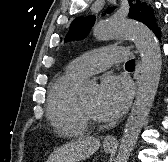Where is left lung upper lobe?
Returning a JSON list of instances; mask_svg holds the SVG:
<instances>
[{"label": "left lung upper lobe", "instance_id": "obj_1", "mask_svg": "<svg viewBox=\"0 0 168 162\" xmlns=\"http://www.w3.org/2000/svg\"><path fill=\"white\" fill-rule=\"evenodd\" d=\"M130 11L129 17L135 20H138L145 25L149 26L156 21L154 17V11L151 7H147V4L144 2L137 1L132 3V0H129ZM113 8H109L107 11L110 13ZM95 22L94 16H89L87 18L81 16L76 18L70 25L68 34L65 37V42L70 40H80L86 37L89 33L91 27Z\"/></svg>", "mask_w": 168, "mask_h": 162}]
</instances>
